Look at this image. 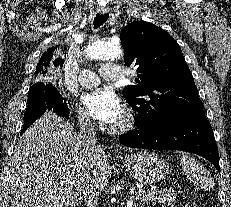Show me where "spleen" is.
<instances>
[{
    "label": "spleen",
    "mask_w": 231,
    "mask_h": 207,
    "mask_svg": "<svg viewBox=\"0 0 231 207\" xmlns=\"http://www.w3.org/2000/svg\"><path fill=\"white\" fill-rule=\"evenodd\" d=\"M181 165L187 178L204 190H210L214 186L213 180L209 177L207 169L194 158L183 155Z\"/></svg>",
    "instance_id": "spleen-1"
}]
</instances>
